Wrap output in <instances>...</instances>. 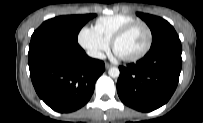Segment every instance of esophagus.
<instances>
[{
  "instance_id": "1",
  "label": "esophagus",
  "mask_w": 203,
  "mask_h": 123,
  "mask_svg": "<svg viewBox=\"0 0 203 123\" xmlns=\"http://www.w3.org/2000/svg\"><path fill=\"white\" fill-rule=\"evenodd\" d=\"M105 67H106V69H109V68H111V67H112V65H111V64H109V63H105Z\"/></svg>"
}]
</instances>
